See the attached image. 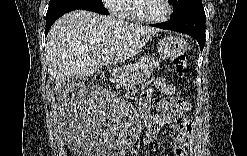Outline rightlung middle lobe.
Wrapping results in <instances>:
<instances>
[{
    "label": "right lung middle lobe",
    "instance_id": "right-lung-middle-lobe-1",
    "mask_svg": "<svg viewBox=\"0 0 247 156\" xmlns=\"http://www.w3.org/2000/svg\"><path fill=\"white\" fill-rule=\"evenodd\" d=\"M64 6H103L102 0H50L48 11H53L55 9L64 7Z\"/></svg>",
    "mask_w": 247,
    "mask_h": 156
}]
</instances>
